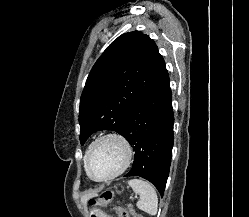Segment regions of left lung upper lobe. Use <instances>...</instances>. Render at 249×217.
<instances>
[{
    "label": "left lung upper lobe",
    "instance_id": "1",
    "mask_svg": "<svg viewBox=\"0 0 249 217\" xmlns=\"http://www.w3.org/2000/svg\"><path fill=\"white\" fill-rule=\"evenodd\" d=\"M164 69L157 45L140 31L111 43L91 69L81 95V144L99 130L123 135L129 112Z\"/></svg>",
    "mask_w": 249,
    "mask_h": 217
}]
</instances>
